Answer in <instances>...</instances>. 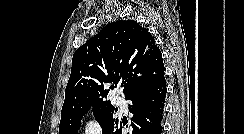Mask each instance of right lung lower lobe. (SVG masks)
Listing matches in <instances>:
<instances>
[{"mask_svg":"<svg viewBox=\"0 0 244 134\" xmlns=\"http://www.w3.org/2000/svg\"><path fill=\"white\" fill-rule=\"evenodd\" d=\"M166 93L164 76L132 92L125 97L133 103L129 106V111L133 113L132 128L126 131L124 128L127 127V121L116 118L104 134H161Z\"/></svg>","mask_w":244,"mask_h":134,"instance_id":"98d812e1","label":"right lung lower lobe"}]
</instances>
